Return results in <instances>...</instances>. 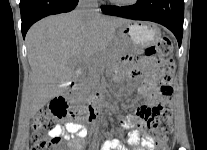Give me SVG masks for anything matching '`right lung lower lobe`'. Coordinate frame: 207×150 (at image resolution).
Segmentation results:
<instances>
[{
    "instance_id": "right-lung-lower-lobe-1",
    "label": "right lung lower lobe",
    "mask_w": 207,
    "mask_h": 150,
    "mask_svg": "<svg viewBox=\"0 0 207 150\" xmlns=\"http://www.w3.org/2000/svg\"><path fill=\"white\" fill-rule=\"evenodd\" d=\"M78 0H21L20 11L22 35H25L32 24L48 15L73 10Z\"/></svg>"
}]
</instances>
